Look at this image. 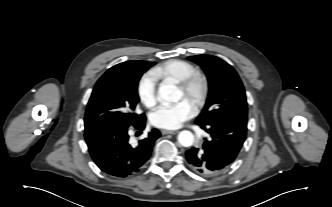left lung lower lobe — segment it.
Segmentation results:
<instances>
[{
    "instance_id": "obj_1",
    "label": "left lung lower lobe",
    "mask_w": 332,
    "mask_h": 207,
    "mask_svg": "<svg viewBox=\"0 0 332 207\" xmlns=\"http://www.w3.org/2000/svg\"><path fill=\"white\" fill-rule=\"evenodd\" d=\"M209 134L201 147L186 152L190 167L204 175L225 171L236 159L247 133V121L227 120L210 125H199Z\"/></svg>"
}]
</instances>
